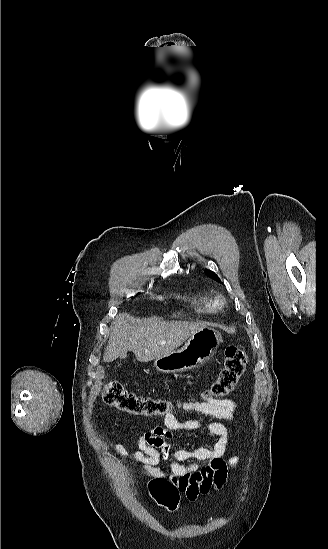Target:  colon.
Segmentation results:
<instances>
[{"mask_svg": "<svg viewBox=\"0 0 328 549\" xmlns=\"http://www.w3.org/2000/svg\"><path fill=\"white\" fill-rule=\"evenodd\" d=\"M245 350L230 345L225 351L224 366L217 378L203 392L205 400L224 399L234 388L247 363ZM104 402L118 410L142 416H162L172 412L173 404L163 398L138 395L126 390L119 382H109L103 390ZM155 502L173 513L177 510L180 490L168 479L155 478L148 484Z\"/></svg>", "mask_w": 328, "mask_h": 549, "instance_id": "colon-1", "label": "colon"}]
</instances>
